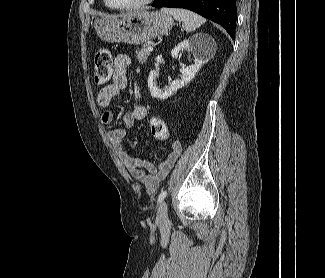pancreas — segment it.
Here are the masks:
<instances>
[{
	"instance_id": "obj_1",
	"label": "pancreas",
	"mask_w": 325,
	"mask_h": 278,
	"mask_svg": "<svg viewBox=\"0 0 325 278\" xmlns=\"http://www.w3.org/2000/svg\"><path fill=\"white\" fill-rule=\"evenodd\" d=\"M135 54L138 58L139 63H145L147 61L148 56L150 55V51H148L147 45H144L138 48L135 51Z\"/></svg>"
}]
</instances>
